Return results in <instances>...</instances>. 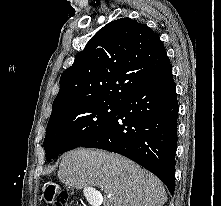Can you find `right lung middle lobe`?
I'll use <instances>...</instances> for the list:
<instances>
[{"instance_id": "dd1d6c3e", "label": "right lung middle lobe", "mask_w": 221, "mask_h": 206, "mask_svg": "<svg viewBox=\"0 0 221 206\" xmlns=\"http://www.w3.org/2000/svg\"><path fill=\"white\" fill-rule=\"evenodd\" d=\"M119 104L92 103L59 111L50 116L44 139L45 157L82 146L117 115Z\"/></svg>"}]
</instances>
